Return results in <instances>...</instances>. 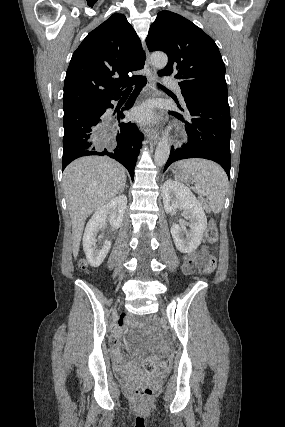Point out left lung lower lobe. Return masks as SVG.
<instances>
[{"label":"left lung lower lobe","instance_id":"left-lung-lower-lobe-1","mask_svg":"<svg viewBox=\"0 0 285 427\" xmlns=\"http://www.w3.org/2000/svg\"><path fill=\"white\" fill-rule=\"evenodd\" d=\"M179 109L192 118L171 112L186 122L188 143L181 148H171L164 167L178 160L204 158L219 163L230 177V110L228 101L212 96L183 95V107L176 100Z\"/></svg>","mask_w":285,"mask_h":427}]
</instances>
